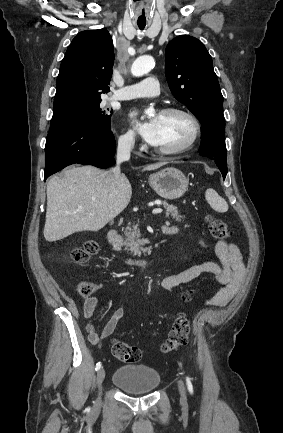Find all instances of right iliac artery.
Masks as SVG:
<instances>
[{
	"label": "right iliac artery",
	"instance_id": "obj_1",
	"mask_svg": "<svg viewBox=\"0 0 283 433\" xmlns=\"http://www.w3.org/2000/svg\"><path fill=\"white\" fill-rule=\"evenodd\" d=\"M100 368H101V363L98 362V363L96 364L95 370L97 371V370H99Z\"/></svg>",
	"mask_w": 283,
	"mask_h": 433
}]
</instances>
